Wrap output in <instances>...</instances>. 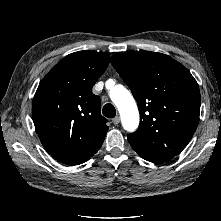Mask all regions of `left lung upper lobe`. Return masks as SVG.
Segmentation results:
<instances>
[{"instance_id": "obj_1", "label": "left lung upper lobe", "mask_w": 221, "mask_h": 221, "mask_svg": "<svg viewBox=\"0 0 221 221\" xmlns=\"http://www.w3.org/2000/svg\"><path fill=\"white\" fill-rule=\"evenodd\" d=\"M111 63L137 100L140 125L128 136L143 158L169 160L192 138L200 114V91L191 73L168 55L116 54Z\"/></svg>"}]
</instances>
